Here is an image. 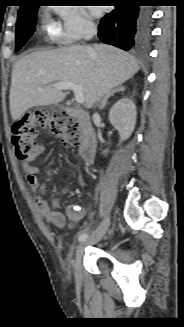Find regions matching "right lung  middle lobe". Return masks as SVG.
Listing matches in <instances>:
<instances>
[{
  "label": "right lung middle lobe",
  "mask_w": 184,
  "mask_h": 327,
  "mask_svg": "<svg viewBox=\"0 0 184 327\" xmlns=\"http://www.w3.org/2000/svg\"><path fill=\"white\" fill-rule=\"evenodd\" d=\"M38 6L28 8L18 12L17 24L15 29V51H19L21 47L28 41L35 31L36 14Z\"/></svg>",
  "instance_id": "1"
}]
</instances>
